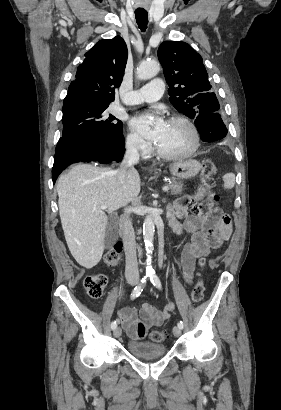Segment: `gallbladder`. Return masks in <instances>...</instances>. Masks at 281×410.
<instances>
[{"mask_svg": "<svg viewBox=\"0 0 281 410\" xmlns=\"http://www.w3.org/2000/svg\"><path fill=\"white\" fill-rule=\"evenodd\" d=\"M117 239V227L115 225V217L111 216L109 218L108 224L106 226V231H105V238H104V244L105 247H111Z\"/></svg>", "mask_w": 281, "mask_h": 410, "instance_id": "1", "label": "gallbladder"}]
</instances>
